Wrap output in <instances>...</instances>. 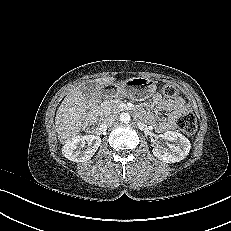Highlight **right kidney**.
Listing matches in <instances>:
<instances>
[{
    "instance_id": "right-kidney-1",
    "label": "right kidney",
    "mask_w": 231,
    "mask_h": 231,
    "mask_svg": "<svg viewBox=\"0 0 231 231\" xmlns=\"http://www.w3.org/2000/svg\"><path fill=\"white\" fill-rule=\"evenodd\" d=\"M101 144V138L92 134L76 135L65 143L62 154L73 162H85L92 158Z\"/></svg>"
}]
</instances>
